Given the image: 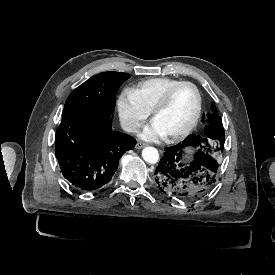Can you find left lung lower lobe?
Listing matches in <instances>:
<instances>
[{
  "label": "left lung lower lobe",
  "mask_w": 275,
  "mask_h": 275,
  "mask_svg": "<svg viewBox=\"0 0 275 275\" xmlns=\"http://www.w3.org/2000/svg\"><path fill=\"white\" fill-rule=\"evenodd\" d=\"M176 146L165 148L154 171L155 185L169 198H197L214 186L217 170L202 165L196 159L190 164L183 163L182 149H176Z\"/></svg>",
  "instance_id": "0a47b994"
}]
</instances>
